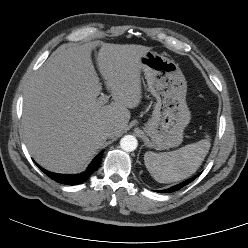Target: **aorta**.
Listing matches in <instances>:
<instances>
[{
	"label": "aorta",
	"mask_w": 248,
	"mask_h": 248,
	"mask_svg": "<svg viewBox=\"0 0 248 248\" xmlns=\"http://www.w3.org/2000/svg\"><path fill=\"white\" fill-rule=\"evenodd\" d=\"M138 146L137 139L132 135H125L120 140V147L122 150L126 152H132L134 151Z\"/></svg>",
	"instance_id": "762f6f07"
}]
</instances>
